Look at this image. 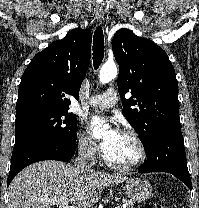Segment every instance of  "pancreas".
<instances>
[{
  "mask_svg": "<svg viewBox=\"0 0 199 208\" xmlns=\"http://www.w3.org/2000/svg\"><path fill=\"white\" fill-rule=\"evenodd\" d=\"M125 203L127 204V208H134L133 205H134V202L131 201V200H127L125 201Z\"/></svg>",
  "mask_w": 199,
  "mask_h": 208,
  "instance_id": "obj_1",
  "label": "pancreas"
}]
</instances>
